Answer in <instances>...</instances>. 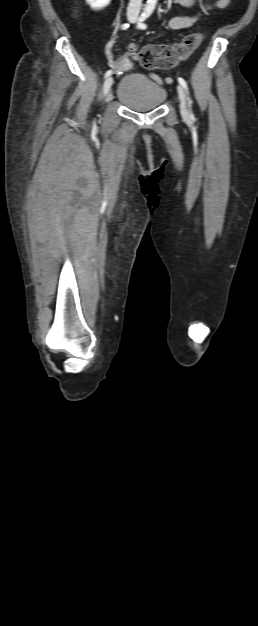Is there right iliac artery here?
I'll return each mask as SVG.
<instances>
[{
	"mask_svg": "<svg viewBox=\"0 0 258 626\" xmlns=\"http://www.w3.org/2000/svg\"><path fill=\"white\" fill-rule=\"evenodd\" d=\"M129 26H130V25H129L128 23H124V24H122L121 28H122L123 30H126V29H128V28H129ZM111 74H112V70H108V71L105 73V77H108V76H110Z\"/></svg>",
	"mask_w": 258,
	"mask_h": 626,
	"instance_id": "obj_1",
	"label": "right iliac artery"
}]
</instances>
